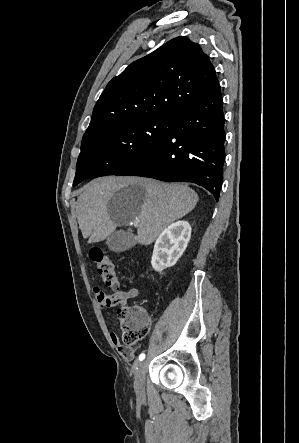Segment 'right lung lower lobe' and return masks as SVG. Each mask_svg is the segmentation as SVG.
Masks as SVG:
<instances>
[{
  "label": "right lung lower lobe",
  "mask_w": 299,
  "mask_h": 443,
  "mask_svg": "<svg viewBox=\"0 0 299 443\" xmlns=\"http://www.w3.org/2000/svg\"><path fill=\"white\" fill-rule=\"evenodd\" d=\"M219 83L171 114L170 134L147 155L115 175L193 182L218 201L223 181L225 130Z\"/></svg>",
  "instance_id": "obj_1"
}]
</instances>
